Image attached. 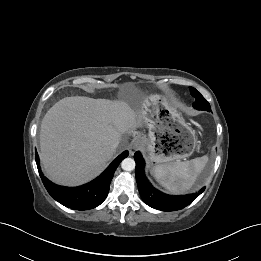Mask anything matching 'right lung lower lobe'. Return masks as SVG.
<instances>
[{
  "mask_svg": "<svg viewBox=\"0 0 261 261\" xmlns=\"http://www.w3.org/2000/svg\"><path fill=\"white\" fill-rule=\"evenodd\" d=\"M127 156L128 152H123L99 177L79 187L58 186L50 182L41 172L37 152L35 159L43 184L56 201L71 209L88 210L97 207L106 199L114 172Z\"/></svg>",
  "mask_w": 261,
  "mask_h": 261,
  "instance_id": "obj_1",
  "label": "right lung lower lobe"
}]
</instances>
